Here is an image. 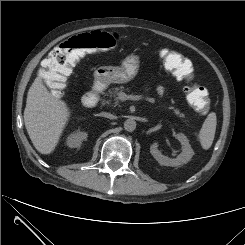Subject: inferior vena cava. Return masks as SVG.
Instances as JSON below:
<instances>
[{
	"label": "inferior vena cava",
	"mask_w": 245,
	"mask_h": 245,
	"mask_svg": "<svg viewBox=\"0 0 245 245\" xmlns=\"http://www.w3.org/2000/svg\"><path fill=\"white\" fill-rule=\"evenodd\" d=\"M102 116H104V117H106L108 119H114L115 118V116L113 114L106 113V112L102 113Z\"/></svg>",
	"instance_id": "inferior-vena-cava-1"
}]
</instances>
